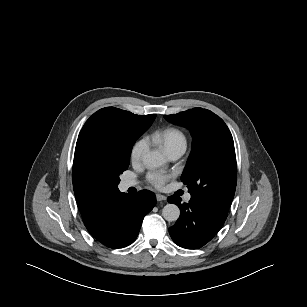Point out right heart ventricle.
<instances>
[{
  "mask_svg": "<svg viewBox=\"0 0 307 307\" xmlns=\"http://www.w3.org/2000/svg\"><path fill=\"white\" fill-rule=\"evenodd\" d=\"M152 139L161 144L167 153L178 148L186 149L187 145L185 134L176 128L155 131L152 135Z\"/></svg>",
  "mask_w": 307,
  "mask_h": 307,
  "instance_id": "obj_1",
  "label": "right heart ventricle"
}]
</instances>
